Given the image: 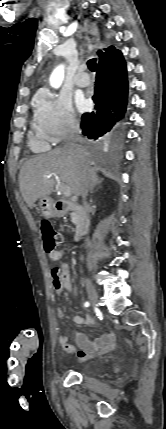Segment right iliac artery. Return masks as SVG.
<instances>
[{"instance_id":"obj_1","label":"right iliac artery","mask_w":166,"mask_h":429,"mask_svg":"<svg viewBox=\"0 0 166 429\" xmlns=\"http://www.w3.org/2000/svg\"><path fill=\"white\" fill-rule=\"evenodd\" d=\"M89 305H90V304H89V302H85V303H84V306H85V307H89Z\"/></svg>"}]
</instances>
